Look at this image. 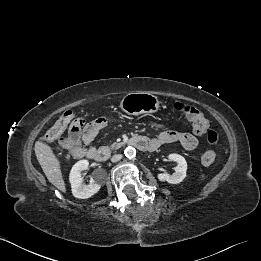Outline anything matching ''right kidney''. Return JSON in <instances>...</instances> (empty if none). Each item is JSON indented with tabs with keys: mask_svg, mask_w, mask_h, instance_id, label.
I'll use <instances>...</instances> for the list:
<instances>
[{
	"mask_svg": "<svg viewBox=\"0 0 261 261\" xmlns=\"http://www.w3.org/2000/svg\"><path fill=\"white\" fill-rule=\"evenodd\" d=\"M88 166V160H80L72 167L70 172L69 179L72 187V194L74 197L79 199H87L92 197L100 190L101 185L104 183L103 179L95 176L90 179L89 185L83 184L81 172L86 170Z\"/></svg>",
	"mask_w": 261,
	"mask_h": 261,
	"instance_id": "1",
	"label": "right kidney"
}]
</instances>
